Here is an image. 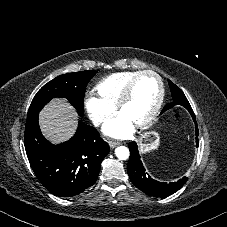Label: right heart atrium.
I'll use <instances>...</instances> for the list:
<instances>
[{"instance_id": "obj_1", "label": "right heart atrium", "mask_w": 227, "mask_h": 227, "mask_svg": "<svg viewBox=\"0 0 227 227\" xmlns=\"http://www.w3.org/2000/svg\"><path fill=\"white\" fill-rule=\"evenodd\" d=\"M85 110L92 123L99 126L113 115L115 109L99 97L89 95L85 99Z\"/></svg>"}]
</instances>
